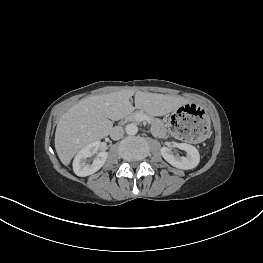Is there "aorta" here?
I'll list each match as a JSON object with an SVG mask.
<instances>
[{
    "mask_svg": "<svg viewBox=\"0 0 263 263\" xmlns=\"http://www.w3.org/2000/svg\"><path fill=\"white\" fill-rule=\"evenodd\" d=\"M125 131L128 135H136L138 133V127L134 123L127 124Z\"/></svg>",
    "mask_w": 263,
    "mask_h": 263,
    "instance_id": "obj_1",
    "label": "aorta"
}]
</instances>
